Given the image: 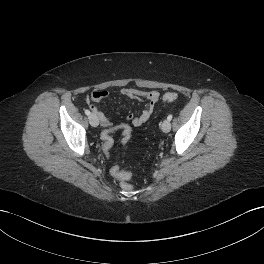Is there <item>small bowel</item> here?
I'll use <instances>...</instances> for the list:
<instances>
[{
    "mask_svg": "<svg viewBox=\"0 0 264 264\" xmlns=\"http://www.w3.org/2000/svg\"><path fill=\"white\" fill-rule=\"evenodd\" d=\"M121 95L130 100H139L145 103V108L138 115L129 114L127 119L132 121V124L136 127L143 125L146 123L151 117L154 107L159 100L160 94L158 91H150V92H142L134 89H122ZM108 98V92L104 90L94 91L90 96L86 98V102L93 112L98 118L100 125L105 128V130H121L123 133L122 143L125 144V133H131V129L126 124H120L115 127H112V123L110 119L106 116V114L101 111L97 104L103 100ZM120 170L118 166H113L111 168V174L114 176L115 171ZM115 177V176H114Z\"/></svg>",
    "mask_w": 264,
    "mask_h": 264,
    "instance_id": "obj_1",
    "label": "small bowel"
}]
</instances>
